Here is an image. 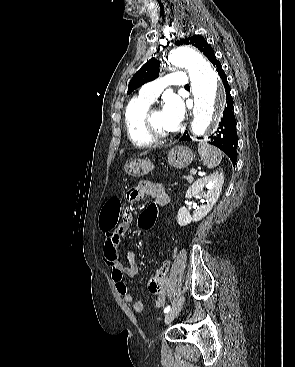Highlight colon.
I'll return each instance as SVG.
<instances>
[{"mask_svg":"<svg viewBox=\"0 0 295 367\" xmlns=\"http://www.w3.org/2000/svg\"><path fill=\"white\" fill-rule=\"evenodd\" d=\"M147 199L149 204L139 218V225L143 231H147L154 225L155 221H157L158 213L162 209L155 202L156 198L154 196L150 195ZM123 210L122 202L118 197L110 198L100 214L99 223L101 230L108 231L115 228L119 219L123 217Z\"/></svg>","mask_w":295,"mask_h":367,"instance_id":"obj_1","label":"colon"}]
</instances>
